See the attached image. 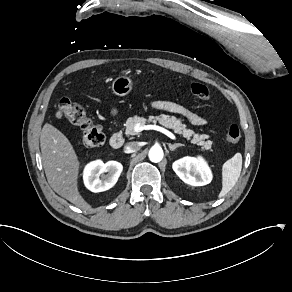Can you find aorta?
I'll return each instance as SVG.
<instances>
[{"instance_id": "obj_1", "label": "aorta", "mask_w": 292, "mask_h": 292, "mask_svg": "<svg viewBox=\"0 0 292 292\" xmlns=\"http://www.w3.org/2000/svg\"><path fill=\"white\" fill-rule=\"evenodd\" d=\"M163 158V150L161 147L153 146L149 151V159L152 162H160Z\"/></svg>"}]
</instances>
